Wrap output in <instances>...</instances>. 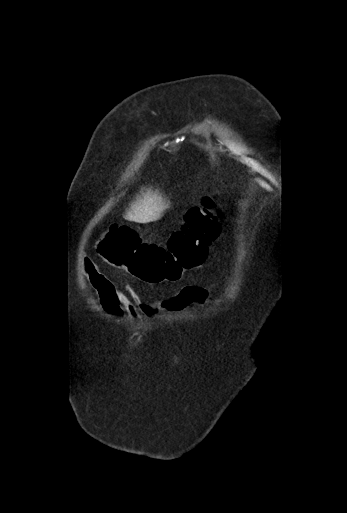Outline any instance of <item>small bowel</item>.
<instances>
[{
  "mask_svg": "<svg viewBox=\"0 0 347 513\" xmlns=\"http://www.w3.org/2000/svg\"><path fill=\"white\" fill-rule=\"evenodd\" d=\"M82 273L89 281L104 309L112 316H120L123 313L130 318L156 316L161 310L176 308L190 304L204 305L209 300V288L207 285H186L180 288L168 301L147 303L132 286H126L125 290L115 288L107 276L101 272L93 261L84 258Z\"/></svg>",
  "mask_w": 347,
  "mask_h": 513,
  "instance_id": "1",
  "label": "small bowel"
}]
</instances>
